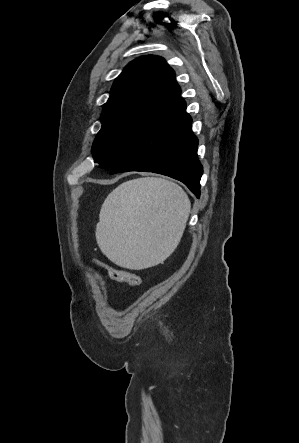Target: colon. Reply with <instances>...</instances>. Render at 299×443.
<instances>
[{
  "label": "colon",
  "mask_w": 299,
  "mask_h": 443,
  "mask_svg": "<svg viewBox=\"0 0 299 443\" xmlns=\"http://www.w3.org/2000/svg\"><path fill=\"white\" fill-rule=\"evenodd\" d=\"M94 265L100 268L111 279L119 283L128 284L131 287H138L141 283V278L138 274L130 271L119 270L104 264L93 261Z\"/></svg>",
  "instance_id": "1"
}]
</instances>
